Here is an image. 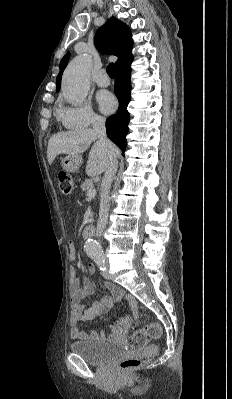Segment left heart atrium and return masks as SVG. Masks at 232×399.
Returning a JSON list of instances; mask_svg holds the SVG:
<instances>
[{
	"mask_svg": "<svg viewBox=\"0 0 232 399\" xmlns=\"http://www.w3.org/2000/svg\"><path fill=\"white\" fill-rule=\"evenodd\" d=\"M99 105L102 112L106 114L113 113L117 108L114 97L109 93H105L99 97Z\"/></svg>",
	"mask_w": 232,
	"mask_h": 399,
	"instance_id": "obj_1",
	"label": "left heart atrium"
}]
</instances>
